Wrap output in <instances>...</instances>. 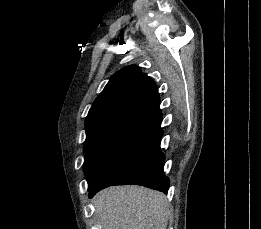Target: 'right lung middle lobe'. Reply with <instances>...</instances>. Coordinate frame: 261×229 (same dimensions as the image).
I'll return each mask as SVG.
<instances>
[{
    "instance_id": "right-lung-middle-lobe-1",
    "label": "right lung middle lobe",
    "mask_w": 261,
    "mask_h": 229,
    "mask_svg": "<svg viewBox=\"0 0 261 229\" xmlns=\"http://www.w3.org/2000/svg\"><path fill=\"white\" fill-rule=\"evenodd\" d=\"M156 130H138L133 135V146L130 148H106L84 146V171L88 186L91 187L98 177L115 161L129 154L144 141L150 138Z\"/></svg>"
}]
</instances>
